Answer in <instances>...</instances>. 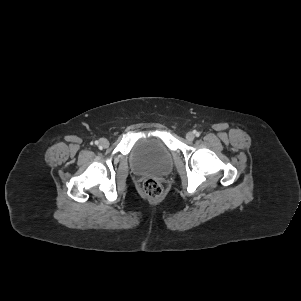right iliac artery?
I'll use <instances>...</instances> for the list:
<instances>
[{
    "label": "right iliac artery",
    "instance_id": "obj_1",
    "mask_svg": "<svg viewBox=\"0 0 301 301\" xmlns=\"http://www.w3.org/2000/svg\"><path fill=\"white\" fill-rule=\"evenodd\" d=\"M95 144H96V145H98V144H99V142H98V141H95Z\"/></svg>",
    "mask_w": 301,
    "mask_h": 301
}]
</instances>
